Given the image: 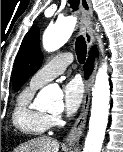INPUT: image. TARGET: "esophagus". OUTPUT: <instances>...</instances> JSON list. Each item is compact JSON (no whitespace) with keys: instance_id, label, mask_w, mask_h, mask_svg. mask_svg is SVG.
I'll use <instances>...</instances> for the list:
<instances>
[{"instance_id":"esophagus-1","label":"esophagus","mask_w":123,"mask_h":152,"mask_svg":"<svg viewBox=\"0 0 123 152\" xmlns=\"http://www.w3.org/2000/svg\"><path fill=\"white\" fill-rule=\"evenodd\" d=\"M81 9L84 15V19L80 24V31L83 33L85 42L88 50L94 45V37L91 32V17H92V8L90 0H80ZM85 95L82 103L81 113L74 123L72 129L64 140V144L68 147H73L78 143V140L85 128L86 119L88 115L90 99H91V90H92V77L89 76L85 80Z\"/></svg>"}]
</instances>
